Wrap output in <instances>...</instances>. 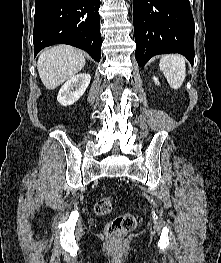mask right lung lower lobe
Wrapping results in <instances>:
<instances>
[{"mask_svg":"<svg viewBox=\"0 0 221 263\" xmlns=\"http://www.w3.org/2000/svg\"><path fill=\"white\" fill-rule=\"evenodd\" d=\"M100 0H36L34 56L44 47L69 44L101 58Z\"/></svg>","mask_w":221,"mask_h":263,"instance_id":"98d812e1","label":"right lung lower lobe"}]
</instances>
